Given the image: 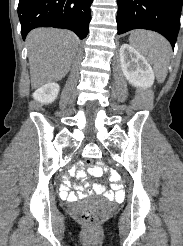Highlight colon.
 <instances>
[{
	"mask_svg": "<svg viewBox=\"0 0 183 246\" xmlns=\"http://www.w3.org/2000/svg\"><path fill=\"white\" fill-rule=\"evenodd\" d=\"M93 157H85L84 160H82V165H86V167H94ZM80 219L88 226L93 227L98 223L99 216L98 214L89 209H83L80 214Z\"/></svg>",
	"mask_w": 183,
	"mask_h": 246,
	"instance_id": "obj_1",
	"label": "colon"
}]
</instances>
